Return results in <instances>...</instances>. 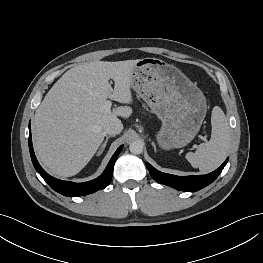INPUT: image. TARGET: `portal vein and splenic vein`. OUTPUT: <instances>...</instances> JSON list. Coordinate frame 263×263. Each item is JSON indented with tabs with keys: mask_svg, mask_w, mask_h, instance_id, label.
Segmentation results:
<instances>
[{
	"mask_svg": "<svg viewBox=\"0 0 263 263\" xmlns=\"http://www.w3.org/2000/svg\"><path fill=\"white\" fill-rule=\"evenodd\" d=\"M111 106H112V102L110 100H107L101 107L102 111L105 113H110L111 112ZM202 140H206L205 137H200Z\"/></svg>",
	"mask_w": 263,
	"mask_h": 263,
	"instance_id": "18ae733b",
	"label": "portal vein and splenic vein"
}]
</instances>
